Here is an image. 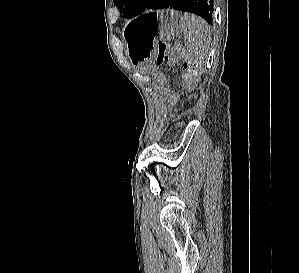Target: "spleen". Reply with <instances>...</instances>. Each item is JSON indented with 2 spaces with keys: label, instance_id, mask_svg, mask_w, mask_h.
<instances>
[{
  "label": "spleen",
  "instance_id": "3e777b00",
  "mask_svg": "<svg viewBox=\"0 0 299 273\" xmlns=\"http://www.w3.org/2000/svg\"><path fill=\"white\" fill-rule=\"evenodd\" d=\"M181 27L189 54L199 60L205 59L210 43L209 25L201 17L184 13L181 16Z\"/></svg>",
  "mask_w": 299,
  "mask_h": 273
}]
</instances>
